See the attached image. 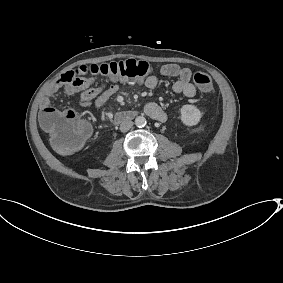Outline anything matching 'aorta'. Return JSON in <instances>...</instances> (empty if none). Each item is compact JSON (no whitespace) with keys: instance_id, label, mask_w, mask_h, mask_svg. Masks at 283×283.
I'll use <instances>...</instances> for the list:
<instances>
[{"instance_id":"aorta-1","label":"aorta","mask_w":283,"mask_h":283,"mask_svg":"<svg viewBox=\"0 0 283 283\" xmlns=\"http://www.w3.org/2000/svg\"><path fill=\"white\" fill-rule=\"evenodd\" d=\"M135 125L140 128L144 127L146 125V119L143 116L136 117Z\"/></svg>"}]
</instances>
